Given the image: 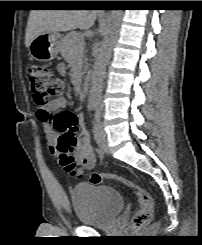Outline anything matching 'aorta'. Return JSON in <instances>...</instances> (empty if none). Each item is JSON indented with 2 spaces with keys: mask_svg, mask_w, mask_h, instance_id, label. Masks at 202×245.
<instances>
[{
  "mask_svg": "<svg viewBox=\"0 0 202 245\" xmlns=\"http://www.w3.org/2000/svg\"><path fill=\"white\" fill-rule=\"evenodd\" d=\"M122 16V10H112L105 26L103 40L91 74L90 100L92 102L98 101L101 97L106 66L112 54L114 40L118 32Z\"/></svg>",
  "mask_w": 202,
  "mask_h": 245,
  "instance_id": "obj_1",
  "label": "aorta"
}]
</instances>
